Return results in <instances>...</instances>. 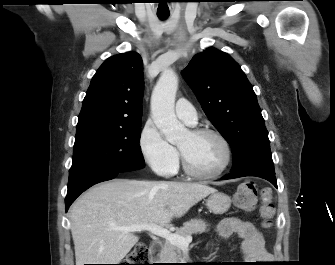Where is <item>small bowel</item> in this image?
<instances>
[{"label":"small bowel","instance_id":"1","mask_svg":"<svg viewBox=\"0 0 335 265\" xmlns=\"http://www.w3.org/2000/svg\"><path fill=\"white\" fill-rule=\"evenodd\" d=\"M217 234L222 239L237 236L240 243V251L248 263H267L271 255L265 248L264 239L258 229L251 223L238 218L223 219L217 226Z\"/></svg>","mask_w":335,"mask_h":265}]
</instances>
